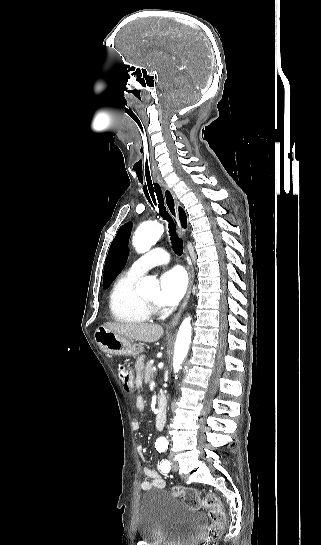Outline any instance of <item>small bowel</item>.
Listing matches in <instances>:
<instances>
[{
  "instance_id": "small-bowel-1",
  "label": "small bowel",
  "mask_w": 321,
  "mask_h": 545,
  "mask_svg": "<svg viewBox=\"0 0 321 545\" xmlns=\"http://www.w3.org/2000/svg\"><path fill=\"white\" fill-rule=\"evenodd\" d=\"M136 407L140 411L143 410L145 407L144 399L141 396H138L136 399ZM132 426H133V429L137 430L140 428V422L137 419H135L132 422ZM137 452L139 456L143 459L144 450L142 446H138ZM143 473L147 477V479L141 483V488L143 490H149L151 488H160V489L164 488L165 481L163 480V478L160 476L158 472L148 467H144Z\"/></svg>"
}]
</instances>
